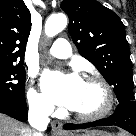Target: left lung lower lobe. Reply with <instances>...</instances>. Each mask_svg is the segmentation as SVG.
<instances>
[{"label":"left lung lower lobe","instance_id":"obj_1","mask_svg":"<svg viewBox=\"0 0 136 136\" xmlns=\"http://www.w3.org/2000/svg\"><path fill=\"white\" fill-rule=\"evenodd\" d=\"M110 125L121 127L131 134L136 135V101L119 103L115 113L108 118L85 124H66L64 125V129H85Z\"/></svg>","mask_w":136,"mask_h":136}]
</instances>
